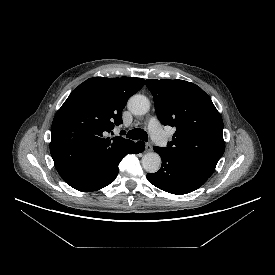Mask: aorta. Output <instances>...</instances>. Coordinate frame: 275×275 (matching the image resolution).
I'll return each instance as SVG.
<instances>
[{
  "label": "aorta",
  "instance_id": "762f6f07",
  "mask_svg": "<svg viewBox=\"0 0 275 275\" xmlns=\"http://www.w3.org/2000/svg\"><path fill=\"white\" fill-rule=\"evenodd\" d=\"M128 109L134 115H144L150 109V102L144 95H133L128 101ZM142 166L149 173H156L161 166V158L155 152L146 153L142 157Z\"/></svg>",
  "mask_w": 275,
  "mask_h": 275
}]
</instances>
